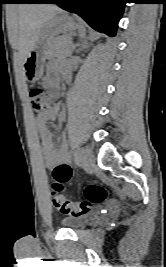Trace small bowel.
<instances>
[{
  "label": "small bowel",
  "instance_id": "c3829d8e",
  "mask_svg": "<svg viewBox=\"0 0 166 267\" xmlns=\"http://www.w3.org/2000/svg\"><path fill=\"white\" fill-rule=\"evenodd\" d=\"M48 70L51 74L55 75L58 71H62L64 75H68L69 70L65 65L58 63H50ZM46 87L53 92L57 91V80L55 77H47L44 80ZM59 111V105L54 104L48 110L39 113L35 117L38 132L41 137L42 152L46 167L54 173L57 168H67L71 171L70 159L67 151V144L65 136L62 135L59 147L56 148L52 139V131L47 127V122L53 119Z\"/></svg>",
  "mask_w": 166,
  "mask_h": 267
}]
</instances>
